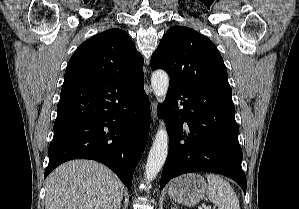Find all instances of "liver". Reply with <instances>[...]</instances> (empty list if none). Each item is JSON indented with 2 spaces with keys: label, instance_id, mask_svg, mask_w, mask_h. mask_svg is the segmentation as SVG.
Instances as JSON below:
<instances>
[{
  "label": "liver",
  "instance_id": "obj_1",
  "mask_svg": "<svg viewBox=\"0 0 299 209\" xmlns=\"http://www.w3.org/2000/svg\"><path fill=\"white\" fill-rule=\"evenodd\" d=\"M124 185L106 166L92 160H72L46 180V209H118Z\"/></svg>",
  "mask_w": 299,
  "mask_h": 209
}]
</instances>
